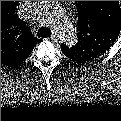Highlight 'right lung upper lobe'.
<instances>
[{"instance_id": "right-lung-upper-lobe-1", "label": "right lung upper lobe", "mask_w": 121, "mask_h": 121, "mask_svg": "<svg viewBox=\"0 0 121 121\" xmlns=\"http://www.w3.org/2000/svg\"><path fill=\"white\" fill-rule=\"evenodd\" d=\"M34 43L36 41L28 32L26 24L15 17L14 9H9V2L5 1L1 7V56L25 54L22 59L26 58V49L34 46Z\"/></svg>"}]
</instances>
